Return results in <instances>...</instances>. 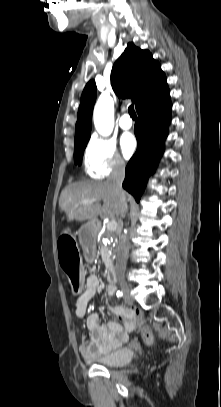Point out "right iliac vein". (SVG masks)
Wrapping results in <instances>:
<instances>
[{
    "label": "right iliac vein",
    "instance_id": "obj_1",
    "mask_svg": "<svg viewBox=\"0 0 221 407\" xmlns=\"http://www.w3.org/2000/svg\"><path fill=\"white\" fill-rule=\"evenodd\" d=\"M121 291L123 293L124 299L127 303L132 304V296L130 293L129 286L127 285L126 282H121L120 283Z\"/></svg>",
    "mask_w": 221,
    "mask_h": 407
}]
</instances>
